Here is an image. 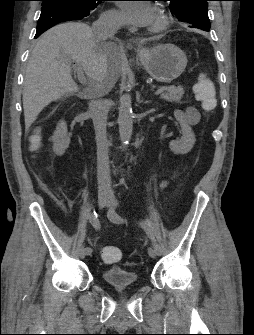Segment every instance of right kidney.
<instances>
[{"label":"right kidney","mask_w":254,"mask_h":335,"mask_svg":"<svg viewBox=\"0 0 254 335\" xmlns=\"http://www.w3.org/2000/svg\"><path fill=\"white\" fill-rule=\"evenodd\" d=\"M50 140L53 142V152L56 155L62 156L70 144L65 121H60L57 124L56 130Z\"/></svg>","instance_id":"obj_1"}]
</instances>
